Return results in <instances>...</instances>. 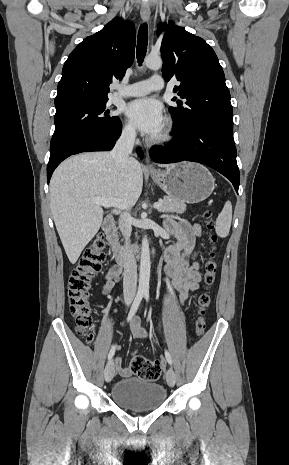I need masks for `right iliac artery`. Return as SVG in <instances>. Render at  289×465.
Segmentation results:
<instances>
[{"label": "right iliac artery", "instance_id": "obj_1", "mask_svg": "<svg viewBox=\"0 0 289 465\" xmlns=\"http://www.w3.org/2000/svg\"><path fill=\"white\" fill-rule=\"evenodd\" d=\"M144 296V293L143 292H138L135 299H134V302L130 308V311H129V314H128V317H127V321H130L132 319V317L135 315V313L137 312L138 310V307L142 301V298ZM115 349H116V346H112L109 354H108V360H111V358L114 356L115 354Z\"/></svg>", "mask_w": 289, "mask_h": 465}]
</instances>
